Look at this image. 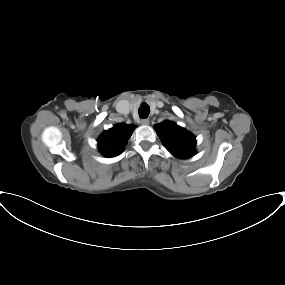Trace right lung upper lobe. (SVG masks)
Returning a JSON list of instances; mask_svg holds the SVG:
<instances>
[{
    "instance_id": "right-lung-upper-lobe-1",
    "label": "right lung upper lobe",
    "mask_w": 285,
    "mask_h": 285,
    "mask_svg": "<svg viewBox=\"0 0 285 285\" xmlns=\"http://www.w3.org/2000/svg\"><path fill=\"white\" fill-rule=\"evenodd\" d=\"M135 126L127 124H117L108 131H104L98 138V147L106 157L119 155L127 144Z\"/></svg>"
}]
</instances>
